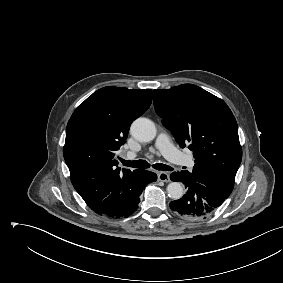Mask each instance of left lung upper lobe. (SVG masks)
Returning a JSON list of instances; mask_svg holds the SVG:
<instances>
[{
  "label": "left lung upper lobe",
  "instance_id": "1",
  "mask_svg": "<svg viewBox=\"0 0 283 283\" xmlns=\"http://www.w3.org/2000/svg\"><path fill=\"white\" fill-rule=\"evenodd\" d=\"M154 107L180 147L193 151L194 181L228 198L242 159L236 120L220 98L193 84L154 90Z\"/></svg>",
  "mask_w": 283,
  "mask_h": 283
}]
</instances>
